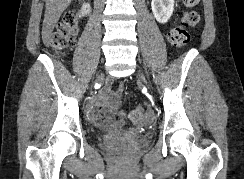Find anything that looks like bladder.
<instances>
[{
	"instance_id": "bladder-1",
	"label": "bladder",
	"mask_w": 244,
	"mask_h": 179,
	"mask_svg": "<svg viewBox=\"0 0 244 179\" xmlns=\"http://www.w3.org/2000/svg\"><path fill=\"white\" fill-rule=\"evenodd\" d=\"M103 142V141H102ZM138 142H140V143H144V142H146V137L145 136H139L138 137ZM104 143V142H103Z\"/></svg>"
}]
</instances>
